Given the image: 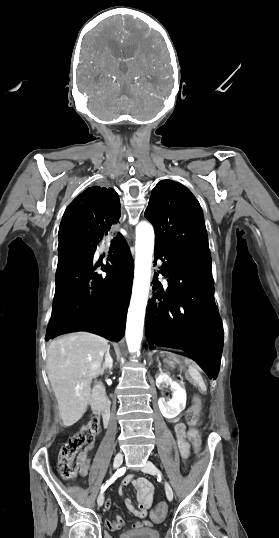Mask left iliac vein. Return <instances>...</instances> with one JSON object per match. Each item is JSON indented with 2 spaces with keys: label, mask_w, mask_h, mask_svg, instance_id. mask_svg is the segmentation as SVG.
I'll use <instances>...</instances> for the list:
<instances>
[{
  "label": "left iliac vein",
  "mask_w": 279,
  "mask_h": 538,
  "mask_svg": "<svg viewBox=\"0 0 279 538\" xmlns=\"http://www.w3.org/2000/svg\"><path fill=\"white\" fill-rule=\"evenodd\" d=\"M142 471L145 472V473L152 474V475H161L160 470L151 461H147L145 463V466L142 468ZM165 491H166L167 499L169 501H172L173 500V490H172L170 484L167 481H165Z\"/></svg>",
  "instance_id": "obj_1"
}]
</instances>
